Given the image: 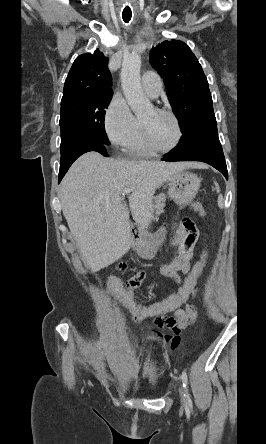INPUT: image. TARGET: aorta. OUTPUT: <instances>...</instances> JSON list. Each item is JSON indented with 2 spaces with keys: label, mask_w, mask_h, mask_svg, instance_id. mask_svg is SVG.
Segmentation results:
<instances>
[{
  "label": "aorta",
  "mask_w": 266,
  "mask_h": 444,
  "mask_svg": "<svg viewBox=\"0 0 266 444\" xmlns=\"http://www.w3.org/2000/svg\"><path fill=\"white\" fill-rule=\"evenodd\" d=\"M141 56L131 54L124 57L121 69V84L125 98L136 116L145 114L152 108L140 83Z\"/></svg>",
  "instance_id": "obj_1"
}]
</instances>
